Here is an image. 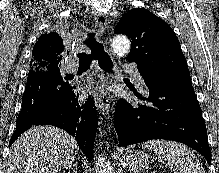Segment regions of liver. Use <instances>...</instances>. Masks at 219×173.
Returning <instances> with one entry per match:
<instances>
[{
	"instance_id": "liver-1",
	"label": "liver",
	"mask_w": 219,
	"mask_h": 173,
	"mask_svg": "<svg viewBox=\"0 0 219 173\" xmlns=\"http://www.w3.org/2000/svg\"><path fill=\"white\" fill-rule=\"evenodd\" d=\"M74 137L53 126H34L11 146L3 173H58L75 160Z\"/></svg>"
}]
</instances>
